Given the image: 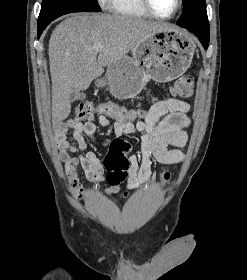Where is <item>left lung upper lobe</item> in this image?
I'll use <instances>...</instances> for the list:
<instances>
[{"mask_svg": "<svg viewBox=\"0 0 247 280\" xmlns=\"http://www.w3.org/2000/svg\"><path fill=\"white\" fill-rule=\"evenodd\" d=\"M184 9L179 25L188 29H195L202 34L209 35V22L205 0H183Z\"/></svg>", "mask_w": 247, "mask_h": 280, "instance_id": "1", "label": "left lung upper lobe"}]
</instances>
